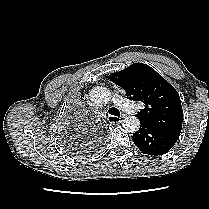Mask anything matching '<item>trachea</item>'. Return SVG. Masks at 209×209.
I'll list each match as a JSON object with an SVG mask.
<instances>
[{"instance_id": "obj_1", "label": "trachea", "mask_w": 209, "mask_h": 209, "mask_svg": "<svg viewBox=\"0 0 209 209\" xmlns=\"http://www.w3.org/2000/svg\"><path fill=\"white\" fill-rule=\"evenodd\" d=\"M108 113L111 114V115H114V116H118V117L120 116V111L117 108H114V107L110 108L108 110Z\"/></svg>"}]
</instances>
